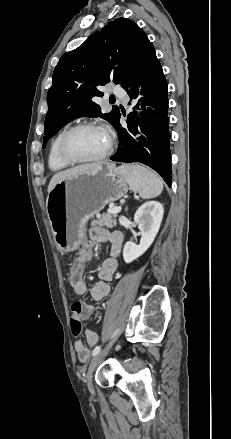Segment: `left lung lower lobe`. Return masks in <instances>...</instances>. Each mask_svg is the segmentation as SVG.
<instances>
[{
	"label": "left lung lower lobe",
	"instance_id": "obj_1",
	"mask_svg": "<svg viewBox=\"0 0 231 439\" xmlns=\"http://www.w3.org/2000/svg\"><path fill=\"white\" fill-rule=\"evenodd\" d=\"M131 99L139 96L143 102L142 117L134 120L135 113L127 117L128 129L115 125L119 137L117 152L112 161L141 162L157 171L170 187L171 154L168 117L167 81L153 46L149 47L133 76L123 87ZM137 104L134 108H138Z\"/></svg>",
	"mask_w": 231,
	"mask_h": 439
}]
</instances>
